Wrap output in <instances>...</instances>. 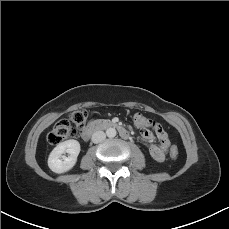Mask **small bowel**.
<instances>
[{
  "label": "small bowel",
  "mask_w": 229,
  "mask_h": 229,
  "mask_svg": "<svg viewBox=\"0 0 229 229\" xmlns=\"http://www.w3.org/2000/svg\"><path fill=\"white\" fill-rule=\"evenodd\" d=\"M145 119L147 120V118ZM152 126H153L152 124L147 123L145 126L141 127L142 134L146 139L147 148L151 157L157 162H163L165 160L166 153L169 149L170 142L167 134L163 131L161 126L157 125L156 127H154V129H155L156 137L159 140V144L153 143L154 134L149 129Z\"/></svg>",
  "instance_id": "obj_1"
}]
</instances>
